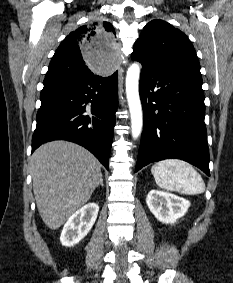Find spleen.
<instances>
[{"instance_id":"1","label":"spleen","mask_w":233,"mask_h":283,"mask_svg":"<svg viewBox=\"0 0 233 283\" xmlns=\"http://www.w3.org/2000/svg\"><path fill=\"white\" fill-rule=\"evenodd\" d=\"M151 172L160 188L186 195L201 194L205 191L201 175L184 161L163 160L154 164Z\"/></svg>"}]
</instances>
